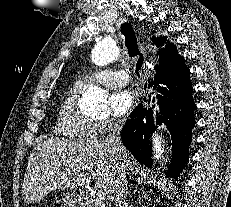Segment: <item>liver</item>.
Segmentation results:
<instances>
[{"instance_id":"obj_1","label":"liver","mask_w":231,"mask_h":207,"mask_svg":"<svg viewBox=\"0 0 231 207\" xmlns=\"http://www.w3.org/2000/svg\"><path fill=\"white\" fill-rule=\"evenodd\" d=\"M118 166V158L111 147L101 140L45 139L30 154L23 199L29 204L55 189H80L88 181L86 171L91 172L90 179L95 186L112 198ZM126 168L127 171L131 168L128 154Z\"/></svg>"}]
</instances>
